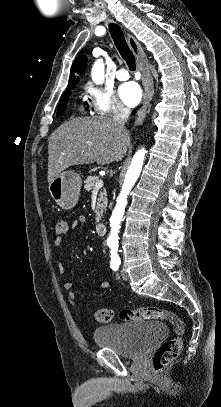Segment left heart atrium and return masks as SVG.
<instances>
[{
  "mask_svg": "<svg viewBox=\"0 0 221 407\" xmlns=\"http://www.w3.org/2000/svg\"><path fill=\"white\" fill-rule=\"evenodd\" d=\"M119 95L128 106H135L141 100L142 92L139 85L131 81L120 86Z\"/></svg>",
  "mask_w": 221,
  "mask_h": 407,
  "instance_id": "left-heart-atrium-1",
  "label": "left heart atrium"
}]
</instances>
